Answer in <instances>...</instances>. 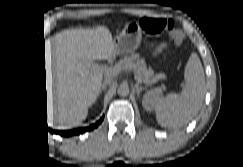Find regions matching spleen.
Instances as JSON below:
<instances>
[{"label":"spleen","instance_id":"obj_1","mask_svg":"<svg viewBox=\"0 0 243 167\" xmlns=\"http://www.w3.org/2000/svg\"><path fill=\"white\" fill-rule=\"evenodd\" d=\"M185 86L181 94H168L155 103L158 123L174 128L187 124L202 107L205 95V75L201 61L192 53L185 67Z\"/></svg>","mask_w":243,"mask_h":167}]
</instances>
